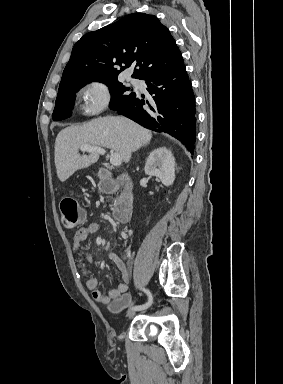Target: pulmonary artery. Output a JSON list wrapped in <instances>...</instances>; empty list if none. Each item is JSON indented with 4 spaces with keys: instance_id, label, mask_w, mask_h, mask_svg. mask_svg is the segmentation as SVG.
I'll list each match as a JSON object with an SVG mask.
<instances>
[{
    "instance_id": "obj_1",
    "label": "pulmonary artery",
    "mask_w": 283,
    "mask_h": 384,
    "mask_svg": "<svg viewBox=\"0 0 283 384\" xmlns=\"http://www.w3.org/2000/svg\"><path fill=\"white\" fill-rule=\"evenodd\" d=\"M127 81L134 84L135 86L139 87V88H143L144 84L142 83V81L140 80H137L135 78H133L131 75H128L127 76Z\"/></svg>"
}]
</instances>
